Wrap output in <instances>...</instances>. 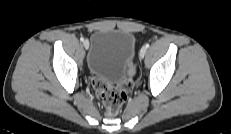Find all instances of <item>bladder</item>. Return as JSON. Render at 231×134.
<instances>
[{
	"label": "bladder",
	"instance_id": "1",
	"mask_svg": "<svg viewBox=\"0 0 231 134\" xmlns=\"http://www.w3.org/2000/svg\"><path fill=\"white\" fill-rule=\"evenodd\" d=\"M136 47V38L129 31L96 30L86 57L89 74L106 84L124 83L130 75Z\"/></svg>",
	"mask_w": 231,
	"mask_h": 134
}]
</instances>
